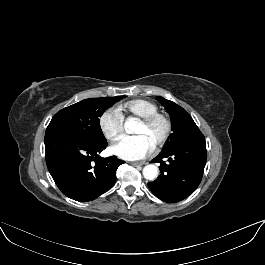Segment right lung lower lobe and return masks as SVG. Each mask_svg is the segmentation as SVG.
Listing matches in <instances>:
<instances>
[{"instance_id":"98d812e1","label":"right lung lower lobe","mask_w":265,"mask_h":265,"mask_svg":"<svg viewBox=\"0 0 265 265\" xmlns=\"http://www.w3.org/2000/svg\"><path fill=\"white\" fill-rule=\"evenodd\" d=\"M46 163L61 192L80 202L94 200L116 181V170L124 161L98 154L106 139L94 142L72 133L45 134Z\"/></svg>"}]
</instances>
